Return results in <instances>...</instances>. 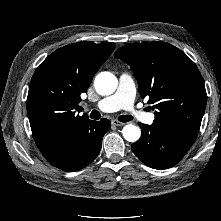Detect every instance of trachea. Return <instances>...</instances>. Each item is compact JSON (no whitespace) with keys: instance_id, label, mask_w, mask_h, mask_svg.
<instances>
[{"instance_id":"1","label":"trachea","mask_w":221,"mask_h":221,"mask_svg":"<svg viewBox=\"0 0 221 221\" xmlns=\"http://www.w3.org/2000/svg\"><path fill=\"white\" fill-rule=\"evenodd\" d=\"M90 117L92 119H99L101 117V114L97 111V110H93L90 114ZM133 118L130 115H121L118 117V120L121 122H129L131 121Z\"/></svg>"}]
</instances>
